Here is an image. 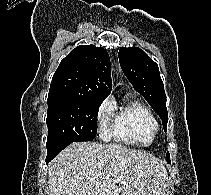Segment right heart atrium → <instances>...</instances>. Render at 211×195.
Returning <instances> with one entry per match:
<instances>
[{
    "label": "right heart atrium",
    "mask_w": 211,
    "mask_h": 195,
    "mask_svg": "<svg viewBox=\"0 0 211 195\" xmlns=\"http://www.w3.org/2000/svg\"><path fill=\"white\" fill-rule=\"evenodd\" d=\"M112 113V104L108 100L103 101L97 112L98 129L103 138L110 135L109 120Z\"/></svg>",
    "instance_id": "d8ad5b80"
}]
</instances>
